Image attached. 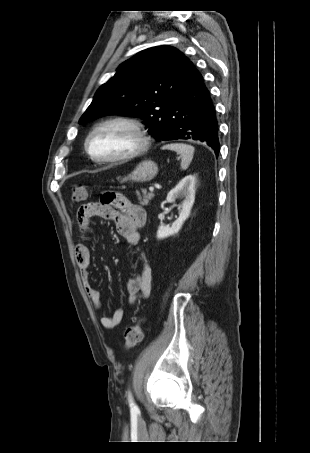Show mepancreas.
<instances>
[{"mask_svg":"<svg viewBox=\"0 0 310 453\" xmlns=\"http://www.w3.org/2000/svg\"><path fill=\"white\" fill-rule=\"evenodd\" d=\"M142 196L138 193V200L142 206H147L149 202L154 198L153 193H147L146 190H142Z\"/></svg>","mask_w":310,"mask_h":453,"instance_id":"pancreas-1","label":"pancreas"}]
</instances>
